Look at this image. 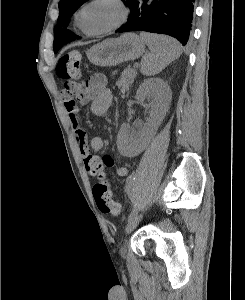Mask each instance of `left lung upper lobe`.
Here are the masks:
<instances>
[{"label":"left lung upper lobe","mask_w":245,"mask_h":300,"mask_svg":"<svg viewBox=\"0 0 245 300\" xmlns=\"http://www.w3.org/2000/svg\"><path fill=\"white\" fill-rule=\"evenodd\" d=\"M87 0H60L59 2V17H58V26L54 28V52L57 51L66 43L79 39L73 32L66 29L68 26V19L72 14L85 3ZM134 0H125L124 3L129 6L132 10Z\"/></svg>","instance_id":"left-lung-upper-lobe-1"}]
</instances>
